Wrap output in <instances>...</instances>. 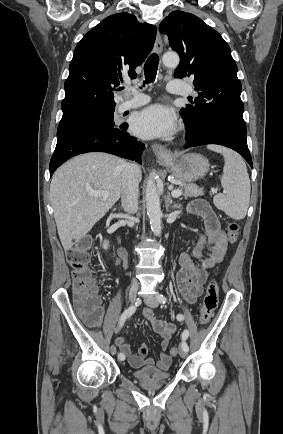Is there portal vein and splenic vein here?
Returning a JSON list of instances; mask_svg holds the SVG:
<instances>
[{
    "mask_svg": "<svg viewBox=\"0 0 283 434\" xmlns=\"http://www.w3.org/2000/svg\"><path fill=\"white\" fill-rule=\"evenodd\" d=\"M88 194H89L90 196H93V197H101V198H103V199H106V198H108V196H109V193H108L107 191H95V190H89V191H88ZM171 195H172L174 198H177V197H179V196L182 195V191H181V190H172Z\"/></svg>",
    "mask_w": 283,
    "mask_h": 434,
    "instance_id": "1",
    "label": "portal vein and splenic vein"
}]
</instances>
